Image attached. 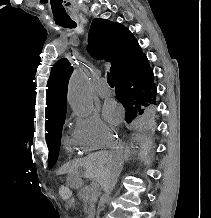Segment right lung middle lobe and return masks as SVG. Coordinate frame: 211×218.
<instances>
[{
    "mask_svg": "<svg viewBox=\"0 0 211 218\" xmlns=\"http://www.w3.org/2000/svg\"><path fill=\"white\" fill-rule=\"evenodd\" d=\"M125 108L126 121L131 122L138 115L152 112L157 103H147L142 100L122 97L117 98ZM65 116L55 123L50 133L46 135L47 146L49 149V168H52L56 163L60 148L61 130L64 124Z\"/></svg>",
    "mask_w": 211,
    "mask_h": 218,
    "instance_id": "dd1d6c3e",
    "label": "right lung middle lobe"
}]
</instances>
